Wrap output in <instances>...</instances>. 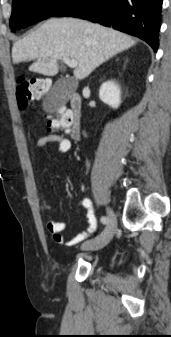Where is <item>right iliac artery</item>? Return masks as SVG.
<instances>
[{
  "mask_svg": "<svg viewBox=\"0 0 171 337\" xmlns=\"http://www.w3.org/2000/svg\"><path fill=\"white\" fill-rule=\"evenodd\" d=\"M101 222L103 224H107L108 223V218L106 216L101 217Z\"/></svg>",
  "mask_w": 171,
  "mask_h": 337,
  "instance_id": "1",
  "label": "right iliac artery"
}]
</instances>
